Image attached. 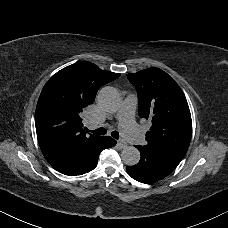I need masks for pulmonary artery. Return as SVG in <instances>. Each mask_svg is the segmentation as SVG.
Here are the masks:
<instances>
[{
  "label": "pulmonary artery",
  "instance_id": "obj_1",
  "mask_svg": "<svg viewBox=\"0 0 228 228\" xmlns=\"http://www.w3.org/2000/svg\"><path fill=\"white\" fill-rule=\"evenodd\" d=\"M139 103V96L136 93H131L128 96V102L123 111V117L121 119L120 131L123 138L130 139L137 135L138 128L135 125H131L134 119V115Z\"/></svg>",
  "mask_w": 228,
  "mask_h": 228
}]
</instances>
